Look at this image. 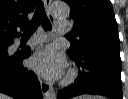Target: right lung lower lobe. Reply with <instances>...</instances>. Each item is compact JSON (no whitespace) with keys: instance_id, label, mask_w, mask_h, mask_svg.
<instances>
[{"instance_id":"right-lung-lower-lobe-1","label":"right lung lower lobe","mask_w":128,"mask_h":99,"mask_svg":"<svg viewBox=\"0 0 128 99\" xmlns=\"http://www.w3.org/2000/svg\"><path fill=\"white\" fill-rule=\"evenodd\" d=\"M4 43L6 49L0 51V92L15 99H42L36 75L22 66L23 59L30 56V48L9 56L7 48L13 40Z\"/></svg>"}]
</instances>
